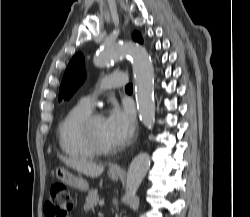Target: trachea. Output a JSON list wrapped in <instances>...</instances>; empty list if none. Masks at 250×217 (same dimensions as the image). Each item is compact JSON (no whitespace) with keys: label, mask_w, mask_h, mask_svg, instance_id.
I'll return each mask as SVG.
<instances>
[{"label":"trachea","mask_w":250,"mask_h":217,"mask_svg":"<svg viewBox=\"0 0 250 217\" xmlns=\"http://www.w3.org/2000/svg\"><path fill=\"white\" fill-rule=\"evenodd\" d=\"M125 90H133V85L129 83L126 87Z\"/></svg>","instance_id":"1"}]
</instances>
